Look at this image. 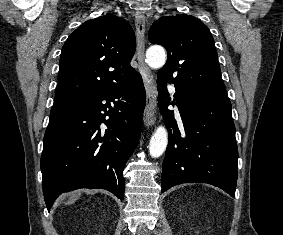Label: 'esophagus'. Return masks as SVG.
<instances>
[{
  "mask_svg": "<svg viewBox=\"0 0 283 235\" xmlns=\"http://www.w3.org/2000/svg\"><path fill=\"white\" fill-rule=\"evenodd\" d=\"M135 27L137 37V58L139 70L143 78L146 90V106L143 114L145 126L155 124V109L157 106V90L154 84L153 75L145 62V16L141 12L135 14Z\"/></svg>",
  "mask_w": 283,
  "mask_h": 235,
  "instance_id": "1",
  "label": "esophagus"
}]
</instances>
